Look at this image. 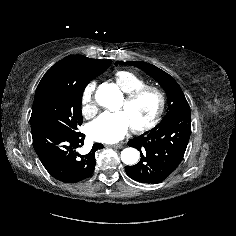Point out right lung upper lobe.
<instances>
[{
    "instance_id": "cb5924a9",
    "label": "right lung upper lobe",
    "mask_w": 236,
    "mask_h": 236,
    "mask_svg": "<svg viewBox=\"0 0 236 236\" xmlns=\"http://www.w3.org/2000/svg\"><path fill=\"white\" fill-rule=\"evenodd\" d=\"M110 60H95L83 55H71L54 64L43 76L38 86L49 80L76 82L82 78L106 71Z\"/></svg>"
}]
</instances>
